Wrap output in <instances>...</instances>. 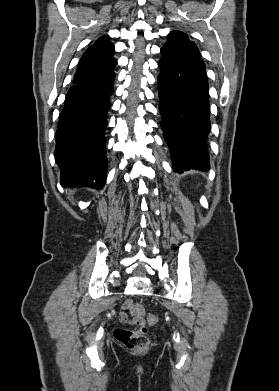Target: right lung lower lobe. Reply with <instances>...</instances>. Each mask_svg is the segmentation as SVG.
<instances>
[{
  "instance_id": "98d812e1",
  "label": "right lung lower lobe",
  "mask_w": 279,
  "mask_h": 391,
  "mask_svg": "<svg viewBox=\"0 0 279 391\" xmlns=\"http://www.w3.org/2000/svg\"><path fill=\"white\" fill-rule=\"evenodd\" d=\"M115 73L73 85L56 131L55 158L61 185L101 189L106 180L104 131Z\"/></svg>"
}]
</instances>
